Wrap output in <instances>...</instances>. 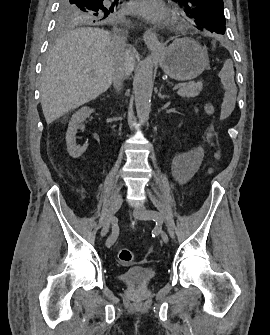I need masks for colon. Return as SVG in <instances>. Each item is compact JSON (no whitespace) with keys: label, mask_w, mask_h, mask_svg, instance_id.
<instances>
[{"label":"colon","mask_w":270,"mask_h":335,"mask_svg":"<svg viewBox=\"0 0 270 335\" xmlns=\"http://www.w3.org/2000/svg\"><path fill=\"white\" fill-rule=\"evenodd\" d=\"M222 72L220 73L222 88L224 89L221 102H219V109H222L219 117L220 119H229L230 116L234 115L236 109L235 98L233 97L235 83L233 79V69L235 63L231 62V58H225V62L222 63ZM217 154H222V149H217ZM217 163H224V156H217ZM133 252L125 247H119L117 249V258L122 264H129L133 260Z\"/></svg>","instance_id":"5ec220e1"}]
</instances>
